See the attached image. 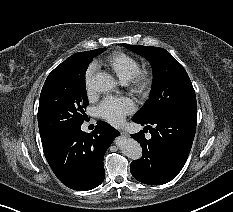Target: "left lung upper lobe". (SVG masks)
I'll use <instances>...</instances> for the list:
<instances>
[{"instance_id":"1","label":"left lung upper lobe","mask_w":233,"mask_h":212,"mask_svg":"<svg viewBox=\"0 0 233 212\" xmlns=\"http://www.w3.org/2000/svg\"><path fill=\"white\" fill-rule=\"evenodd\" d=\"M123 45L145 57L153 69L150 98L133 118L147 120L168 112L197 117L196 96L189 76L168 51L160 47Z\"/></svg>"}]
</instances>
